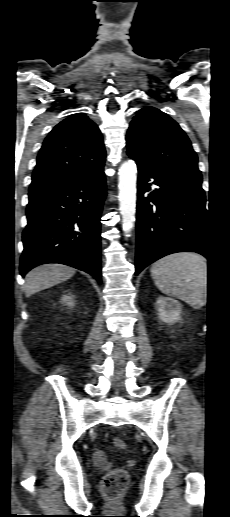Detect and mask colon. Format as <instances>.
I'll return each mask as SVG.
<instances>
[{
    "label": "colon",
    "mask_w": 230,
    "mask_h": 517,
    "mask_svg": "<svg viewBox=\"0 0 230 517\" xmlns=\"http://www.w3.org/2000/svg\"><path fill=\"white\" fill-rule=\"evenodd\" d=\"M113 445L116 449L123 450L126 443L121 438H115ZM128 483V474L122 469H115L109 472L102 481V490L106 498L117 500Z\"/></svg>",
    "instance_id": "colon-1"
}]
</instances>
